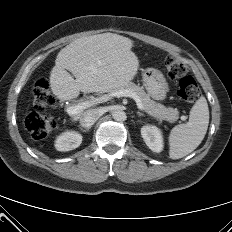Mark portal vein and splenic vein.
<instances>
[{
  "instance_id": "portal-vein-and-splenic-vein-1",
  "label": "portal vein and splenic vein",
  "mask_w": 232,
  "mask_h": 232,
  "mask_svg": "<svg viewBox=\"0 0 232 232\" xmlns=\"http://www.w3.org/2000/svg\"><path fill=\"white\" fill-rule=\"evenodd\" d=\"M110 96H114V97H130L136 102V105H137L138 109H140V110L143 109V105L141 103V99L139 98V96L135 92H132L130 90H127V89L120 90V91L112 93ZM108 99H109L108 96H103V97H100V98L92 99L90 101H84V102L78 103L75 106H68L66 108V112L69 115L78 114L82 110L92 106L93 104L106 102ZM182 120H185V117H182Z\"/></svg>"
}]
</instances>
